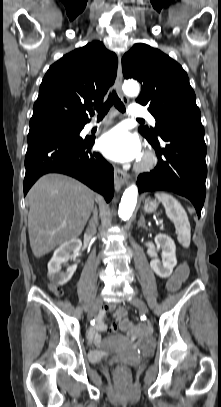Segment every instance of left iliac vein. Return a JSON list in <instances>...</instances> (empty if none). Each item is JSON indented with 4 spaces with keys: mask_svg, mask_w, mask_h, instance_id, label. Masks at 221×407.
I'll return each instance as SVG.
<instances>
[{
    "mask_svg": "<svg viewBox=\"0 0 221 407\" xmlns=\"http://www.w3.org/2000/svg\"><path fill=\"white\" fill-rule=\"evenodd\" d=\"M130 303L132 305H134L135 307H137L142 313L148 314L149 311H148L147 305L140 298L133 297L130 300Z\"/></svg>",
    "mask_w": 221,
    "mask_h": 407,
    "instance_id": "1",
    "label": "left iliac vein"
}]
</instances>
